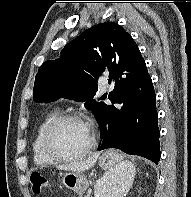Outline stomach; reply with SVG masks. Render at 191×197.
<instances>
[{
  "label": "stomach",
  "instance_id": "obj_1",
  "mask_svg": "<svg viewBox=\"0 0 191 197\" xmlns=\"http://www.w3.org/2000/svg\"><path fill=\"white\" fill-rule=\"evenodd\" d=\"M121 161H123L122 157L115 151H107L99 157L98 164L102 169L107 170L109 173ZM61 181L66 188L74 191L80 196L89 186V181L82 172H66L63 174Z\"/></svg>",
  "mask_w": 191,
  "mask_h": 197
}]
</instances>
